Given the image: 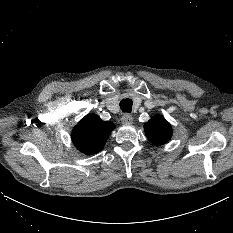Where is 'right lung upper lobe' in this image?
Here are the masks:
<instances>
[{
    "instance_id": "1",
    "label": "right lung upper lobe",
    "mask_w": 233,
    "mask_h": 233,
    "mask_svg": "<svg viewBox=\"0 0 233 233\" xmlns=\"http://www.w3.org/2000/svg\"><path fill=\"white\" fill-rule=\"evenodd\" d=\"M115 125L103 121L95 114H88L73 128L72 141L76 148L87 154L100 152Z\"/></svg>"
}]
</instances>
